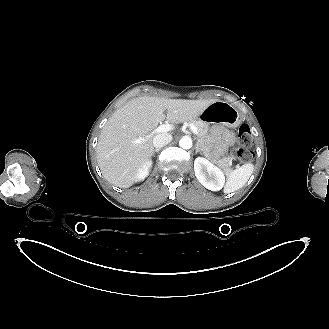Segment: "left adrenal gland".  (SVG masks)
<instances>
[{
    "mask_svg": "<svg viewBox=\"0 0 329 329\" xmlns=\"http://www.w3.org/2000/svg\"><path fill=\"white\" fill-rule=\"evenodd\" d=\"M197 153H200L201 155L203 154L202 151H201L200 148H199L198 143L196 144V154H197Z\"/></svg>",
    "mask_w": 329,
    "mask_h": 329,
    "instance_id": "left-adrenal-gland-1",
    "label": "left adrenal gland"
}]
</instances>
